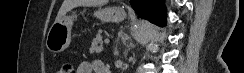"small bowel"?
<instances>
[{"instance_id":"c3829d8e","label":"small bowel","mask_w":244,"mask_h":73,"mask_svg":"<svg viewBox=\"0 0 244 73\" xmlns=\"http://www.w3.org/2000/svg\"><path fill=\"white\" fill-rule=\"evenodd\" d=\"M76 73H110V70L100 60L82 61L78 64Z\"/></svg>"}]
</instances>
